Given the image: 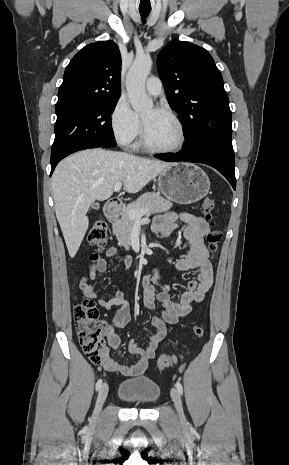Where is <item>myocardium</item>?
Returning a JSON list of instances; mask_svg holds the SVG:
<instances>
[{
  "label": "myocardium",
  "instance_id": "obj_1",
  "mask_svg": "<svg viewBox=\"0 0 289 465\" xmlns=\"http://www.w3.org/2000/svg\"><path fill=\"white\" fill-rule=\"evenodd\" d=\"M157 110L167 114L174 121V123L176 124V126L178 128V131H179V141L175 146L170 147V148H159V147L153 146L148 141L146 130H145L144 124L142 122V133H141L142 147L145 150H147V151H149L151 153H155V154H172V153H176V152L180 151L184 147V145L186 143V140H187V135H186V131H185V127L183 125V122L181 121L179 116L169 107L162 106V107L157 108Z\"/></svg>",
  "mask_w": 289,
  "mask_h": 465
}]
</instances>
